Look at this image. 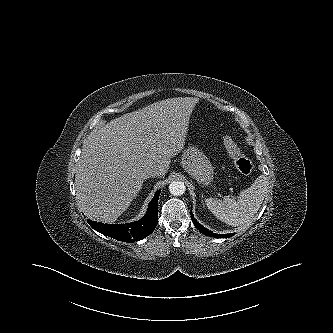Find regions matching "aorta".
<instances>
[{"label":"aorta","instance_id":"762f6f07","mask_svg":"<svg viewBox=\"0 0 333 333\" xmlns=\"http://www.w3.org/2000/svg\"><path fill=\"white\" fill-rule=\"evenodd\" d=\"M186 190V186L182 181H173L169 185V191L174 196L183 195Z\"/></svg>","mask_w":333,"mask_h":333}]
</instances>
